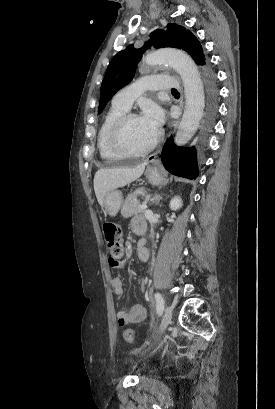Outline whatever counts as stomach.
I'll use <instances>...</instances> for the list:
<instances>
[{
	"mask_svg": "<svg viewBox=\"0 0 275 409\" xmlns=\"http://www.w3.org/2000/svg\"><path fill=\"white\" fill-rule=\"evenodd\" d=\"M146 178L151 184H165L167 178H164L157 166H147L145 170ZM121 190H109L104 196V209L110 217H116L122 205Z\"/></svg>",
	"mask_w": 275,
	"mask_h": 409,
	"instance_id": "stomach-1",
	"label": "stomach"
}]
</instances>
